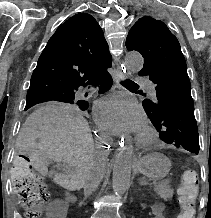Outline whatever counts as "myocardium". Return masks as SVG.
Listing matches in <instances>:
<instances>
[{"label": "myocardium", "mask_w": 211, "mask_h": 218, "mask_svg": "<svg viewBox=\"0 0 211 218\" xmlns=\"http://www.w3.org/2000/svg\"><path fill=\"white\" fill-rule=\"evenodd\" d=\"M155 139V132L146 127L134 138V144L141 149H149L154 144Z\"/></svg>", "instance_id": "myocardium-1"}]
</instances>
